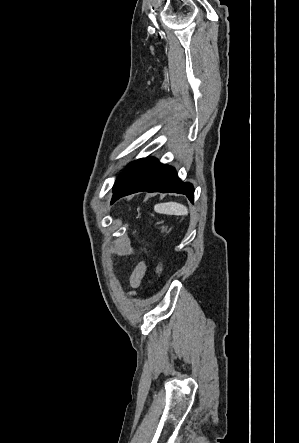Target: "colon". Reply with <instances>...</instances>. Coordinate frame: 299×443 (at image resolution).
<instances>
[{
    "label": "colon",
    "instance_id": "obj_1",
    "mask_svg": "<svg viewBox=\"0 0 299 443\" xmlns=\"http://www.w3.org/2000/svg\"><path fill=\"white\" fill-rule=\"evenodd\" d=\"M162 238L163 239L166 238V230L162 231ZM164 267H165V258L162 256L160 261H159V263H158V266H157V275H158V277H161V275L163 273V270H164Z\"/></svg>",
    "mask_w": 299,
    "mask_h": 443
}]
</instances>
